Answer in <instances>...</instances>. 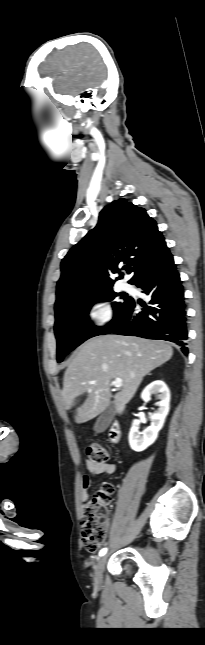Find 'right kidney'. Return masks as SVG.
<instances>
[{
    "label": "right kidney",
    "mask_w": 205,
    "mask_h": 645,
    "mask_svg": "<svg viewBox=\"0 0 205 645\" xmlns=\"http://www.w3.org/2000/svg\"><path fill=\"white\" fill-rule=\"evenodd\" d=\"M153 394H159L157 403L159 408L151 415V425L140 432V421L135 419L129 432V445L136 452L145 450L155 442L169 412L170 391L167 385L161 380H156L143 390L141 398L144 402H148Z\"/></svg>",
    "instance_id": "ca27d5eb"
}]
</instances>
